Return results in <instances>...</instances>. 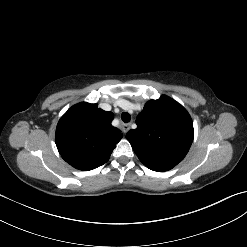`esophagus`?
Returning <instances> with one entry per match:
<instances>
[{"mask_svg": "<svg viewBox=\"0 0 247 247\" xmlns=\"http://www.w3.org/2000/svg\"><path fill=\"white\" fill-rule=\"evenodd\" d=\"M129 129H130V125L129 124H123L122 125V130H123L124 133H126Z\"/></svg>", "mask_w": 247, "mask_h": 247, "instance_id": "1", "label": "esophagus"}]
</instances>
